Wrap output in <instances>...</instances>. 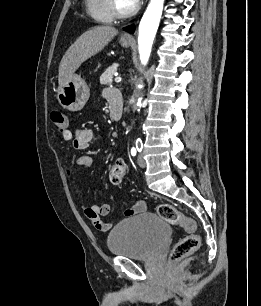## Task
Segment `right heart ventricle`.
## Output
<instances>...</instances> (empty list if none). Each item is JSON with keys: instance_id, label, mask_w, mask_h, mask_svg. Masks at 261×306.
I'll list each match as a JSON object with an SVG mask.
<instances>
[{"instance_id": "right-heart-ventricle-1", "label": "right heart ventricle", "mask_w": 261, "mask_h": 306, "mask_svg": "<svg viewBox=\"0 0 261 306\" xmlns=\"http://www.w3.org/2000/svg\"><path fill=\"white\" fill-rule=\"evenodd\" d=\"M88 14L97 22L110 23L114 15L110 11L108 0H85Z\"/></svg>"}]
</instances>
